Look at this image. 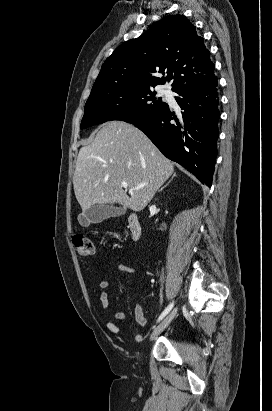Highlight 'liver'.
<instances>
[{
	"label": "liver",
	"instance_id": "obj_1",
	"mask_svg": "<svg viewBox=\"0 0 272 411\" xmlns=\"http://www.w3.org/2000/svg\"><path fill=\"white\" fill-rule=\"evenodd\" d=\"M173 171V163L142 131L125 122H108L91 144L79 151L74 192L83 212L96 205L112 207L115 203L138 212ZM123 182L128 184L130 197Z\"/></svg>",
	"mask_w": 272,
	"mask_h": 411
}]
</instances>
